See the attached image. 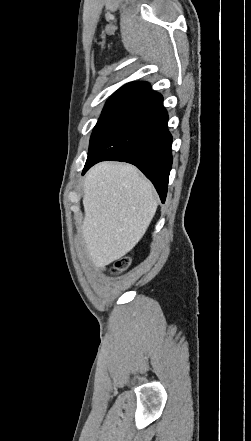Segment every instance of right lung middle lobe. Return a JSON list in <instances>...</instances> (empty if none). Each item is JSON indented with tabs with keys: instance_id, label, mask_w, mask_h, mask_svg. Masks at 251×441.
Masks as SVG:
<instances>
[{
	"instance_id": "right-lung-middle-lobe-1",
	"label": "right lung middle lobe",
	"mask_w": 251,
	"mask_h": 441,
	"mask_svg": "<svg viewBox=\"0 0 251 441\" xmlns=\"http://www.w3.org/2000/svg\"><path fill=\"white\" fill-rule=\"evenodd\" d=\"M132 104L127 101H107L90 138L89 153L108 127Z\"/></svg>"
}]
</instances>
